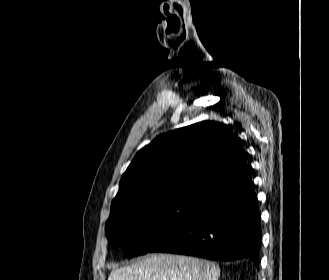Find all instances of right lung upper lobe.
<instances>
[{"mask_svg":"<svg viewBox=\"0 0 329 280\" xmlns=\"http://www.w3.org/2000/svg\"><path fill=\"white\" fill-rule=\"evenodd\" d=\"M248 156L241 139L220 122L203 121L163 133L137 152L111 205L202 197L217 180L245 166Z\"/></svg>","mask_w":329,"mask_h":280,"instance_id":"right-lung-upper-lobe-1","label":"right lung upper lobe"}]
</instances>
